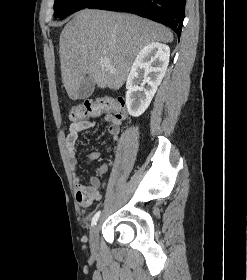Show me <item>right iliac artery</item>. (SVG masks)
Masks as SVG:
<instances>
[{
	"mask_svg": "<svg viewBox=\"0 0 247 280\" xmlns=\"http://www.w3.org/2000/svg\"><path fill=\"white\" fill-rule=\"evenodd\" d=\"M100 214H101V211H98V212L93 216L92 222H91L92 226L95 225V224L97 223V221H98V219H99V217H100Z\"/></svg>",
	"mask_w": 247,
	"mask_h": 280,
	"instance_id": "obj_1",
	"label": "right iliac artery"
}]
</instances>
